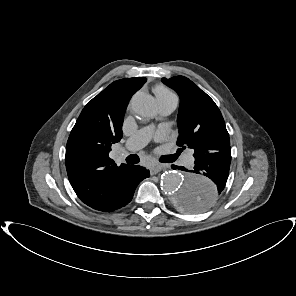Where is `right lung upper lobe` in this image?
<instances>
[{"instance_id":"cb5924a9","label":"right lung upper lobe","mask_w":296,"mask_h":296,"mask_svg":"<svg viewBox=\"0 0 296 296\" xmlns=\"http://www.w3.org/2000/svg\"><path fill=\"white\" fill-rule=\"evenodd\" d=\"M145 77L114 81L82 110L66 146L68 178L80 200L104 211L120 193L129 165L117 166L109 158L112 144L122 138L125 110Z\"/></svg>"}]
</instances>
